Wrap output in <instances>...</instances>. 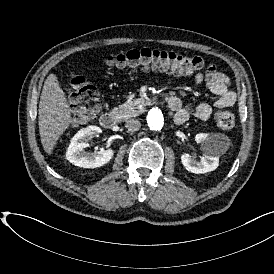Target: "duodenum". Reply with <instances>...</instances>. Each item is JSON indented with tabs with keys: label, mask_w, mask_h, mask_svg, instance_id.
Returning a JSON list of instances; mask_svg holds the SVG:
<instances>
[{
	"label": "duodenum",
	"mask_w": 274,
	"mask_h": 274,
	"mask_svg": "<svg viewBox=\"0 0 274 274\" xmlns=\"http://www.w3.org/2000/svg\"><path fill=\"white\" fill-rule=\"evenodd\" d=\"M167 102L171 109L178 108L180 104L176 96H167ZM100 123L104 129L113 130L118 125V115L111 112L104 113L100 118Z\"/></svg>",
	"instance_id": "410a0bca"
}]
</instances>
